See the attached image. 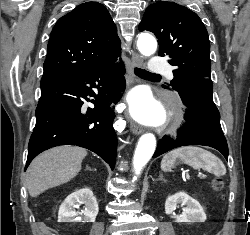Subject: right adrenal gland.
<instances>
[{
	"label": "right adrenal gland",
	"instance_id": "2a0ac1e0",
	"mask_svg": "<svg viewBox=\"0 0 250 235\" xmlns=\"http://www.w3.org/2000/svg\"><path fill=\"white\" fill-rule=\"evenodd\" d=\"M86 170H93V169H91L89 166H87L86 167ZM95 171V170H94Z\"/></svg>",
	"mask_w": 250,
	"mask_h": 235
}]
</instances>
